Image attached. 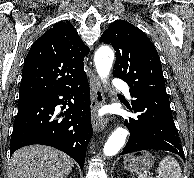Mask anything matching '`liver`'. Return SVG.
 <instances>
[{
  "mask_svg": "<svg viewBox=\"0 0 194 178\" xmlns=\"http://www.w3.org/2000/svg\"><path fill=\"white\" fill-rule=\"evenodd\" d=\"M73 165V159L57 149L30 145L12 155L9 178H66Z\"/></svg>",
  "mask_w": 194,
  "mask_h": 178,
  "instance_id": "1",
  "label": "liver"
}]
</instances>
